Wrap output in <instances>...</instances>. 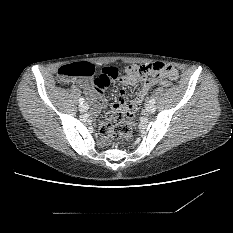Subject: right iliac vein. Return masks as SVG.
I'll return each instance as SVG.
<instances>
[{
    "label": "right iliac vein",
    "instance_id": "63e3f726",
    "mask_svg": "<svg viewBox=\"0 0 233 233\" xmlns=\"http://www.w3.org/2000/svg\"><path fill=\"white\" fill-rule=\"evenodd\" d=\"M79 109L81 112H86V111H88L89 106H88V104L84 103V104L80 105Z\"/></svg>",
    "mask_w": 233,
    "mask_h": 233
}]
</instances>
